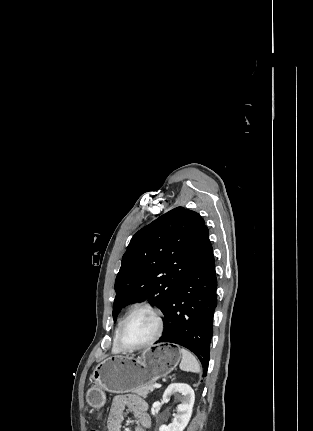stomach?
I'll return each mask as SVG.
<instances>
[{"mask_svg":"<svg viewBox=\"0 0 313 431\" xmlns=\"http://www.w3.org/2000/svg\"><path fill=\"white\" fill-rule=\"evenodd\" d=\"M180 359V350L160 344L146 349L138 357H108L98 364L92 374L94 386L87 391V403L99 409L105 404V391L125 393L152 384L174 370Z\"/></svg>","mask_w":313,"mask_h":431,"instance_id":"stomach-1","label":"stomach"}]
</instances>
